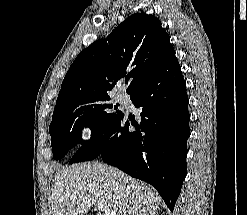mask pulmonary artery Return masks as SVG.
Wrapping results in <instances>:
<instances>
[{
	"instance_id": "pulmonary-artery-1",
	"label": "pulmonary artery",
	"mask_w": 247,
	"mask_h": 215,
	"mask_svg": "<svg viewBox=\"0 0 247 215\" xmlns=\"http://www.w3.org/2000/svg\"><path fill=\"white\" fill-rule=\"evenodd\" d=\"M117 99H118L119 101H125V100L127 99V96H126L124 93H119V94L117 95Z\"/></svg>"
}]
</instances>
